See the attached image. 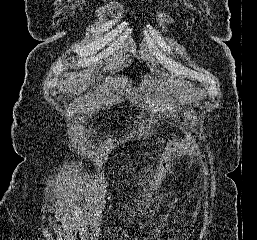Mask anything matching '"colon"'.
Instances as JSON below:
<instances>
[{
  "label": "colon",
  "mask_w": 257,
  "mask_h": 240,
  "mask_svg": "<svg viewBox=\"0 0 257 240\" xmlns=\"http://www.w3.org/2000/svg\"><path fill=\"white\" fill-rule=\"evenodd\" d=\"M194 134H195V131L193 130L192 126H184L181 130L179 139L173 140L167 146L165 151L162 153L158 170L154 178L152 179V181L149 183V186L145 195L140 200L137 208L133 213V216L130 222L131 226H134L138 222H140L142 218L145 216V214L147 213L150 206H152L157 200L165 180L171 173L173 159L176 154V149L178 147V143L180 142V140L192 138ZM129 239H130V232L128 229H124L117 240H129Z\"/></svg>",
  "instance_id": "colon-1"
}]
</instances>
